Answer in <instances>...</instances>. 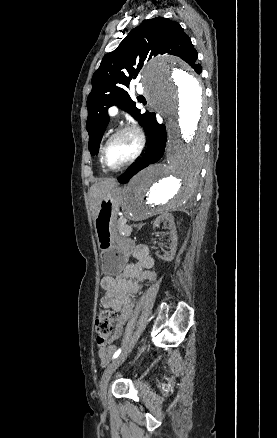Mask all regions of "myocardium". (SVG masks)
Returning a JSON list of instances; mask_svg holds the SVG:
<instances>
[{
	"instance_id": "obj_1",
	"label": "myocardium",
	"mask_w": 277,
	"mask_h": 438,
	"mask_svg": "<svg viewBox=\"0 0 277 438\" xmlns=\"http://www.w3.org/2000/svg\"><path fill=\"white\" fill-rule=\"evenodd\" d=\"M131 135L135 138L136 140V149L134 154L123 164L116 166V167H112L108 164L107 160H106V152L107 149L109 147V145L111 144V142L122 136V135ZM144 148V137L141 133V131L132 125H127L124 126L120 129H118L117 131H115L104 143L102 149H101V162L104 165V167L110 171H118V170H122L128 166H130L131 164H133L141 155L142 151Z\"/></svg>"
}]
</instances>
